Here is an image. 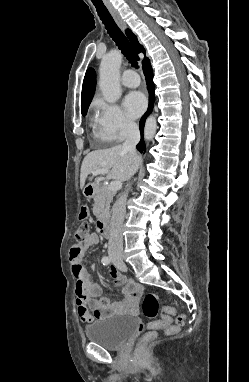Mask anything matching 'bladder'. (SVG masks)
Returning <instances> with one entry per match:
<instances>
[{
	"instance_id": "1",
	"label": "bladder",
	"mask_w": 249,
	"mask_h": 382,
	"mask_svg": "<svg viewBox=\"0 0 249 382\" xmlns=\"http://www.w3.org/2000/svg\"><path fill=\"white\" fill-rule=\"evenodd\" d=\"M138 323V319L131 315L110 316L93 321L85 327L84 333L88 341L107 350H118L128 340Z\"/></svg>"
}]
</instances>
